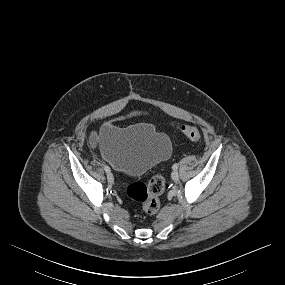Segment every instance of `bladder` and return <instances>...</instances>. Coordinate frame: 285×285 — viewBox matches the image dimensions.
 Wrapping results in <instances>:
<instances>
[{
    "mask_svg": "<svg viewBox=\"0 0 285 285\" xmlns=\"http://www.w3.org/2000/svg\"><path fill=\"white\" fill-rule=\"evenodd\" d=\"M99 141L104 159L128 175L147 172L172 151L170 138L149 123L125 128L106 124L99 131Z\"/></svg>",
    "mask_w": 285,
    "mask_h": 285,
    "instance_id": "obj_1",
    "label": "bladder"
}]
</instances>
